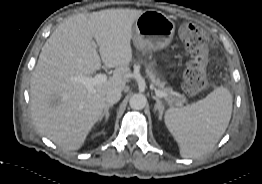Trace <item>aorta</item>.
I'll use <instances>...</instances> for the list:
<instances>
[{"label": "aorta", "instance_id": "1", "mask_svg": "<svg viewBox=\"0 0 262 184\" xmlns=\"http://www.w3.org/2000/svg\"><path fill=\"white\" fill-rule=\"evenodd\" d=\"M147 98L141 93L133 94L129 100L132 109L141 110L146 106Z\"/></svg>", "mask_w": 262, "mask_h": 184}]
</instances>
